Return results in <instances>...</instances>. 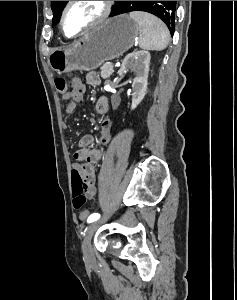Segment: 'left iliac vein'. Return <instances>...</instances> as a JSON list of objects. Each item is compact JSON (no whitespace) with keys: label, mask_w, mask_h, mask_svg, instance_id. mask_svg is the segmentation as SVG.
Listing matches in <instances>:
<instances>
[{"label":"left iliac vein","mask_w":237,"mask_h":300,"mask_svg":"<svg viewBox=\"0 0 237 300\" xmlns=\"http://www.w3.org/2000/svg\"><path fill=\"white\" fill-rule=\"evenodd\" d=\"M100 224H101L100 221L92 222L87 228L86 234L83 239L82 252H83L84 262L86 266L89 267H91L94 262V254L91 247V240Z\"/></svg>","instance_id":"left-iliac-vein-1"}]
</instances>
